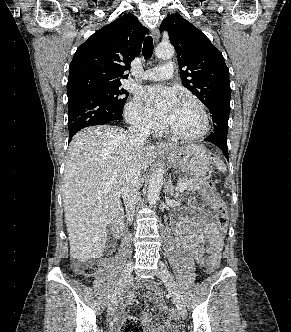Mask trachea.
Masks as SVG:
<instances>
[{"instance_id": "3493384b", "label": "trachea", "mask_w": 291, "mask_h": 332, "mask_svg": "<svg viewBox=\"0 0 291 332\" xmlns=\"http://www.w3.org/2000/svg\"><path fill=\"white\" fill-rule=\"evenodd\" d=\"M153 53V39L151 36H147L143 43V55L144 59H150Z\"/></svg>"}]
</instances>
